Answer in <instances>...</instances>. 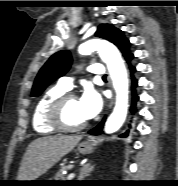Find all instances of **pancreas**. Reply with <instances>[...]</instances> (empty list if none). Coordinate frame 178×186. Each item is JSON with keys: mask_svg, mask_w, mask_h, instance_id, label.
Returning a JSON list of instances; mask_svg holds the SVG:
<instances>
[{"mask_svg": "<svg viewBox=\"0 0 178 186\" xmlns=\"http://www.w3.org/2000/svg\"><path fill=\"white\" fill-rule=\"evenodd\" d=\"M72 166H65L60 169V171L55 176V181H66V176L62 174L63 170L70 169Z\"/></svg>", "mask_w": 178, "mask_h": 186, "instance_id": "pancreas-1", "label": "pancreas"}]
</instances>
